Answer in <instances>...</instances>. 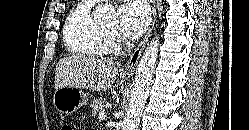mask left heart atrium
Segmentation results:
<instances>
[{"label":"left heart atrium","instance_id":"obj_1","mask_svg":"<svg viewBox=\"0 0 249 130\" xmlns=\"http://www.w3.org/2000/svg\"><path fill=\"white\" fill-rule=\"evenodd\" d=\"M120 29L124 36L130 39L140 37L150 23V11L147 5L140 1L123 4L119 9Z\"/></svg>","mask_w":249,"mask_h":130}]
</instances>
